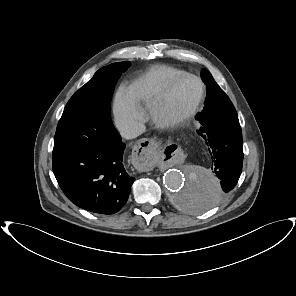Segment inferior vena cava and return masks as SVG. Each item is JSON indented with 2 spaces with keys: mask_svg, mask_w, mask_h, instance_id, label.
I'll return each mask as SVG.
<instances>
[{
  "mask_svg": "<svg viewBox=\"0 0 296 296\" xmlns=\"http://www.w3.org/2000/svg\"><path fill=\"white\" fill-rule=\"evenodd\" d=\"M145 130L143 124L139 122H133L120 129V135L125 139H133L141 135Z\"/></svg>",
  "mask_w": 296,
  "mask_h": 296,
  "instance_id": "602c4592",
  "label": "inferior vena cava"
}]
</instances>
